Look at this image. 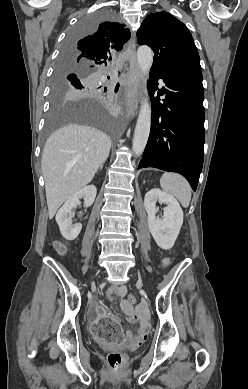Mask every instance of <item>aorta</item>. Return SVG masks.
I'll list each match as a JSON object with an SVG mask.
<instances>
[{
  "mask_svg": "<svg viewBox=\"0 0 248 389\" xmlns=\"http://www.w3.org/2000/svg\"><path fill=\"white\" fill-rule=\"evenodd\" d=\"M137 61L139 68L144 75L145 86L144 94L145 98L141 103L135 131L132 143V150L136 156H140L145 149L148 141L150 127H151V107L148 102V93L146 87V76L153 63V51L148 46H141L137 50Z\"/></svg>",
  "mask_w": 248,
  "mask_h": 389,
  "instance_id": "obj_1",
  "label": "aorta"
}]
</instances>
